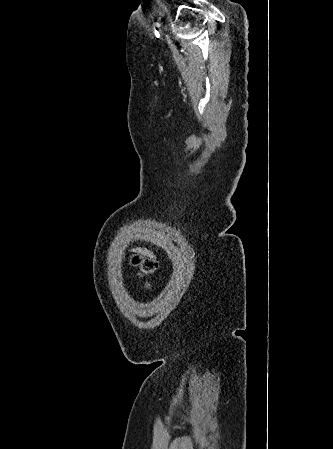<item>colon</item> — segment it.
<instances>
[{
    "instance_id": "5ec220e1",
    "label": "colon",
    "mask_w": 333,
    "mask_h": 449,
    "mask_svg": "<svg viewBox=\"0 0 333 449\" xmlns=\"http://www.w3.org/2000/svg\"><path fill=\"white\" fill-rule=\"evenodd\" d=\"M126 261L130 266L135 268L142 277L154 275L158 268V264L155 260L135 253L127 255Z\"/></svg>"
}]
</instances>
